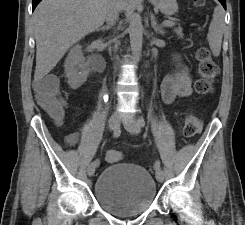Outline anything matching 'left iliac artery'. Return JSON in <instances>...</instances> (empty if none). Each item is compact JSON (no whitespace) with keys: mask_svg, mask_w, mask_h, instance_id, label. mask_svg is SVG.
Listing matches in <instances>:
<instances>
[{"mask_svg":"<svg viewBox=\"0 0 245 225\" xmlns=\"http://www.w3.org/2000/svg\"><path fill=\"white\" fill-rule=\"evenodd\" d=\"M138 122H139V124H140L141 127H144V126H145V120H144L143 117H140V118L138 119ZM153 168H154V170L157 172V171L161 168V163H160V161H156V162L154 163Z\"/></svg>","mask_w":245,"mask_h":225,"instance_id":"44dca946","label":"left iliac artery"}]
</instances>
